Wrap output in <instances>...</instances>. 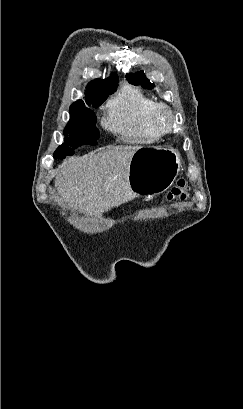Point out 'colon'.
Segmentation results:
<instances>
[{
  "mask_svg": "<svg viewBox=\"0 0 243 409\" xmlns=\"http://www.w3.org/2000/svg\"><path fill=\"white\" fill-rule=\"evenodd\" d=\"M189 187L185 180L180 179L167 194L169 201L184 200L188 195Z\"/></svg>",
  "mask_w": 243,
  "mask_h": 409,
  "instance_id": "colon-1",
  "label": "colon"
}]
</instances>
